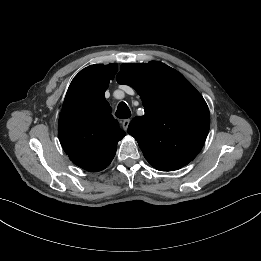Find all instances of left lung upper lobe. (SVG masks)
Returning <instances> with one entry per match:
<instances>
[{
    "label": "left lung upper lobe",
    "instance_id": "1",
    "mask_svg": "<svg viewBox=\"0 0 261 261\" xmlns=\"http://www.w3.org/2000/svg\"><path fill=\"white\" fill-rule=\"evenodd\" d=\"M117 81L133 87L145 115L135 117L128 132L147 161L161 171L191 162L201 150L210 126L208 106L178 71L161 63L122 64Z\"/></svg>",
    "mask_w": 261,
    "mask_h": 261
}]
</instances>
